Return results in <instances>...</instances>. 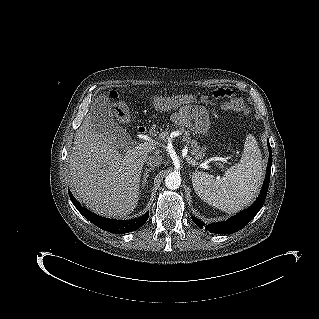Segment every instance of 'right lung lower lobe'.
<instances>
[{
    "label": "right lung lower lobe",
    "instance_id": "obj_1",
    "mask_svg": "<svg viewBox=\"0 0 319 319\" xmlns=\"http://www.w3.org/2000/svg\"><path fill=\"white\" fill-rule=\"evenodd\" d=\"M70 199L72 200L74 206L77 208V210L90 222H92L94 225L98 226L102 230L111 232V233H128L132 232L134 230H137L140 228L148 219L149 211L144 214L143 216H140L136 219L127 220V221H119V220H112L103 218L101 216H98L86 208L82 207L73 197L71 192L69 191Z\"/></svg>",
    "mask_w": 319,
    "mask_h": 319
}]
</instances>
